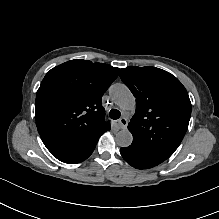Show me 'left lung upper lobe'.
<instances>
[{
    "mask_svg": "<svg viewBox=\"0 0 219 219\" xmlns=\"http://www.w3.org/2000/svg\"><path fill=\"white\" fill-rule=\"evenodd\" d=\"M120 77L136 98L128 129L132 144L162 160L178 148L191 116L185 87L171 73L156 67L129 66Z\"/></svg>",
    "mask_w": 219,
    "mask_h": 219,
    "instance_id": "obj_1",
    "label": "left lung upper lobe"
}]
</instances>
